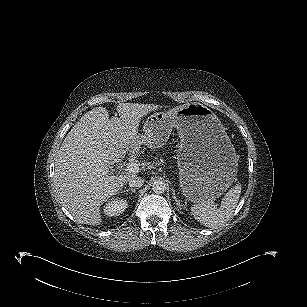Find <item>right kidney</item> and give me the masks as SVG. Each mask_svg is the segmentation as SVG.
<instances>
[{
	"label": "right kidney",
	"instance_id": "right-kidney-1",
	"mask_svg": "<svg viewBox=\"0 0 307 307\" xmlns=\"http://www.w3.org/2000/svg\"><path fill=\"white\" fill-rule=\"evenodd\" d=\"M128 207V202L124 199H111L105 204L103 212L106 216H118Z\"/></svg>",
	"mask_w": 307,
	"mask_h": 307
}]
</instances>
